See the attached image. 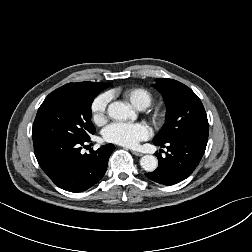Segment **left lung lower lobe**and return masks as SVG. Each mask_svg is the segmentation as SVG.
Returning a JSON list of instances; mask_svg holds the SVG:
<instances>
[{"mask_svg": "<svg viewBox=\"0 0 252 252\" xmlns=\"http://www.w3.org/2000/svg\"><path fill=\"white\" fill-rule=\"evenodd\" d=\"M208 138L199 135H187L173 139L157 146H167L166 157L156 152L158 156V168L145 175L164 185L176 184L191 175L202 159Z\"/></svg>", "mask_w": 252, "mask_h": 252, "instance_id": "0a47b994", "label": "left lung lower lobe"}]
</instances>
